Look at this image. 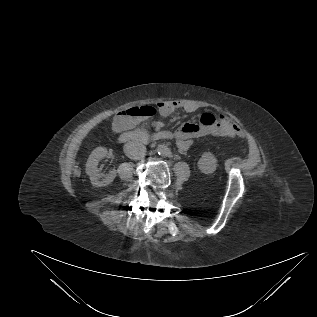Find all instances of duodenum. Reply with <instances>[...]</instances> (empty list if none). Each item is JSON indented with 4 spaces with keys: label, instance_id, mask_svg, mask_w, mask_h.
I'll use <instances>...</instances> for the list:
<instances>
[{
    "label": "duodenum",
    "instance_id": "1",
    "mask_svg": "<svg viewBox=\"0 0 317 317\" xmlns=\"http://www.w3.org/2000/svg\"><path fill=\"white\" fill-rule=\"evenodd\" d=\"M172 138L173 133L167 130L157 131L152 134H148L143 131H130L122 132L119 135V140L121 142L138 143L143 145L164 140H170Z\"/></svg>",
    "mask_w": 317,
    "mask_h": 317
}]
</instances>
